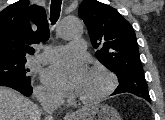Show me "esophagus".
<instances>
[{
    "mask_svg": "<svg viewBox=\"0 0 165 120\" xmlns=\"http://www.w3.org/2000/svg\"><path fill=\"white\" fill-rule=\"evenodd\" d=\"M72 118H73V114H71V113H68L65 116V120H71Z\"/></svg>",
    "mask_w": 165,
    "mask_h": 120,
    "instance_id": "34e87169",
    "label": "esophagus"
}]
</instances>
